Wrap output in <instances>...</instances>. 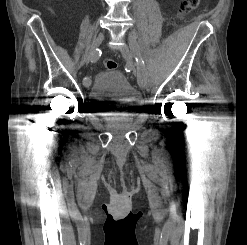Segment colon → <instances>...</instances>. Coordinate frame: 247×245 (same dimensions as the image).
Listing matches in <instances>:
<instances>
[{
	"mask_svg": "<svg viewBox=\"0 0 247 245\" xmlns=\"http://www.w3.org/2000/svg\"><path fill=\"white\" fill-rule=\"evenodd\" d=\"M200 0H182L180 5V16L185 17L191 12H193L199 5ZM104 66L108 70H115L117 68V63L114 60H105Z\"/></svg>",
	"mask_w": 247,
	"mask_h": 245,
	"instance_id": "obj_1",
	"label": "colon"
}]
</instances>
